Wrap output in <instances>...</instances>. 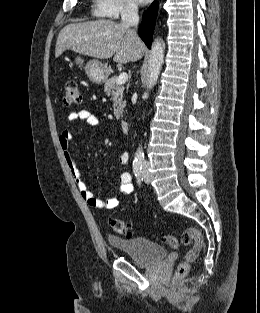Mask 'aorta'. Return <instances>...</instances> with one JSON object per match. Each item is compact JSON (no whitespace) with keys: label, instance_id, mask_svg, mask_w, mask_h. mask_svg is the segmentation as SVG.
Here are the masks:
<instances>
[{"label":"aorta","instance_id":"aorta-1","mask_svg":"<svg viewBox=\"0 0 260 313\" xmlns=\"http://www.w3.org/2000/svg\"><path fill=\"white\" fill-rule=\"evenodd\" d=\"M165 45L161 39H156L152 45L149 57L148 78H147V92L144 93L148 96V90L156 84L164 61ZM144 160V152L142 147H138L134 162L141 163Z\"/></svg>","mask_w":260,"mask_h":313}]
</instances>
